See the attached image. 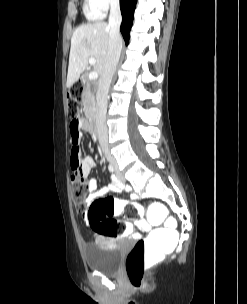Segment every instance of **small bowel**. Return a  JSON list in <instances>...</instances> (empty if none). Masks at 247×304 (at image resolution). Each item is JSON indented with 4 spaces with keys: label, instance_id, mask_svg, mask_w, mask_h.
<instances>
[{
    "label": "small bowel",
    "instance_id": "1",
    "mask_svg": "<svg viewBox=\"0 0 247 304\" xmlns=\"http://www.w3.org/2000/svg\"><path fill=\"white\" fill-rule=\"evenodd\" d=\"M72 117L74 119H77L79 117V114L77 112H74L72 114ZM69 126L71 132V145L69 146L71 156H69V163L71 164L73 172H77L81 177L87 178L90 175L91 171L96 167V161L90 156L84 158V153L81 149L80 141L83 135L81 129L87 126L86 121L84 119L70 120ZM124 189V185L115 179H112V182L109 186L103 187L101 189H98L97 181L95 179H89L87 182L88 196L86 202L90 203L96 199L103 197L109 192H120ZM126 190L131 191L130 189ZM132 198L137 199L138 197L136 194L133 193ZM83 216L86 219L88 218L86 212L83 213ZM128 228L130 230V233L129 235L125 236L135 235L139 231H148L150 229V225H145V220L140 219L135 223L134 227L132 225H128Z\"/></svg>",
    "mask_w": 247,
    "mask_h": 304
}]
</instances>
